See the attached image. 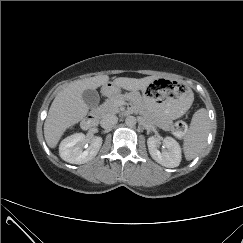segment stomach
Instances as JSON below:
<instances>
[{
	"label": "stomach",
	"mask_w": 243,
	"mask_h": 243,
	"mask_svg": "<svg viewBox=\"0 0 243 243\" xmlns=\"http://www.w3.org/2000/svg\"><path fill=\"white\" fill-rule=\"evenodd\" d=\"M115 86L107 83L103 86L106 95H112ZM142 100L147 111L159 119L172 121L183 116L194 100L189 87L160 78L142 90Z\"/></svg>",
	"instance_id": "0dacf381"
}]
</instances>
